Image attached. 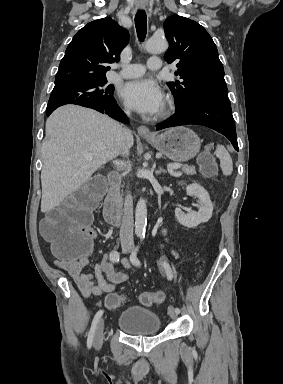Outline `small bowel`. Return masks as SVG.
I'll list each match as a JSON object with an SVG mask.
<instances>
[{
	"label": "small bowel",
	"instance_id": "small-bowel-1",
	"mask_svg": "<svg viewBox=\"0 0 283 384\" xmlns=\"http://www.w3.org/2000/svg\"><path fill=\"white\" fill-rule=\"evenodd\" d=\"M161 232L166 237V229L162 228ZM55 263L68 273L82 295L87 298L113 293L120 284L128 280V275L124 272L115 271L113 264L108 259H103L97 263L93 273L84 271L88 265V257L76 261L58 258ZM122 264L127 270L131 268V264L126 259L123 260Z\"/></svg>",
	"mask_w": 283,
	"mask_h": 384
}]
</instances>
